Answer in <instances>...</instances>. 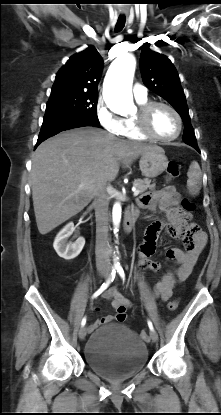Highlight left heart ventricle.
Here are the masks:
<instances>
[{
    "label": "left heart ventricle",
    "mask_w": 221,
    "mask_h": 415,
    "mask_svg": "<svg viewBox=\"0 0 221 415\" xmlns=\"http://www.w3.org/2000/svg\"><path fill=\"white\" fill-rule=\"evenodd\" d=\"M150 124L155 134L165 138L175 135L178 129L175 116L162 106H158L153 110Z\"/></svg>",
    "instance_id": "1"
}]
</instances>
